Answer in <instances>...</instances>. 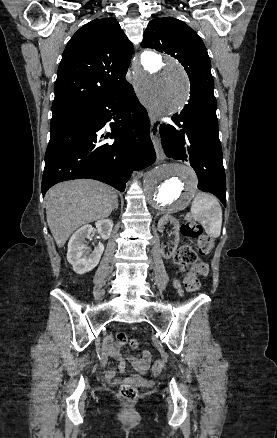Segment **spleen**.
<instances>
[{
  "mask_svg": "<svg viewBox=\"0 0 277 438\" xmlns=\"http://www.w3.org/2000/svg\"><path fill=\"white\" fill-rule=\"evenodd\" d=\"M194 220L202 224L206 234L211 238H219L222 226L221 206L210 194H197L191 204Z\"/></svg>",
  "mask_w": 277,
  "mask_h": 438,
  "instance_id": "3e777b00",
  "label": "spleen"
}]
</instances>
